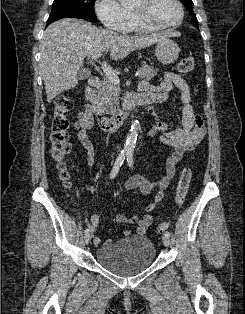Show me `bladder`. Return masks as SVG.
Wrapping results in <instances>:
<instances>
[{"mask_svg": "<svg viewBox=\"0 0 245 314\" xmlns=\"http://www.w3.org/2000/svg\"><path fill=\"white\" fill-rule=\"evenodd\" d=\"M155 257V246L145 236H130L120 241H111L96 250L97 261L109 271L122 276L145 270Z\"/></svg>", "mask_w": 245, "mask_h": 314, "instance_id": "obj_1", "label": "bladder"}]
</instances>
